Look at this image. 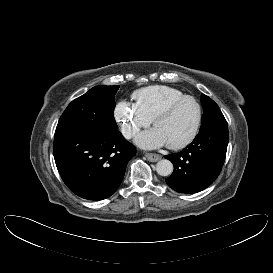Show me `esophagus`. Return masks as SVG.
Instances as JSON below:
<instances>
[{
    "label": "esophagus",
    "mask_w": 273,
    "mask_h": 273,
    "mask_svg": "<svg viewBox=\"0 0 273 273\" xmlns=\"http://www.w3.org/2000/svg\"><path fill=\"white\" fill-rule=\"evenodd\" d=\"M145 157L150 161V162H157L161 159V156L155 153H145Z\"/></svg>",
    "instance_id": "1"
}]
</instances>
